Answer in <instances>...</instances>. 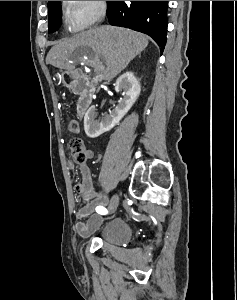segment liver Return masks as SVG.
<instances>
[{"instance_id":"1","label":"liver","mask_w":237,"mask_h":300,"mask_svg":"<svg viewBox=\"0 0 237 300\" xmlns=\"http://www.w3.org/2000/svg\"><path fill=\"white\" fill-rule=\"evenodd\" d=\"M147 45V37L141 33L102 25V27H93L88 31L77 33L71 39H63L55 43L46 57V63L57 69L73 71L74 63L79 61L84 53L91 57L94 55L97 61L102 59L106 65V67L103 65H94V67L102 71L106 81H111L126 69L130 61L144 51Z\"/></svg>"}]
</instances>
